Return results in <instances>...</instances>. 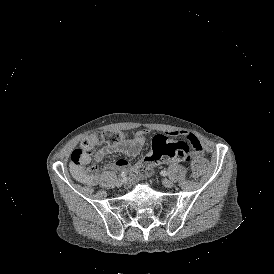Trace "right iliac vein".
Segmentation results:
<instances>
[{"mask_svg": "<svg viewBox=\"0 0 274 274\" xmlns=\"http://www.w3.org/2000/svg\"><path fill=\"white\" fill-rule=\"evenodd\" d=\"M122 184H123L122 179H118L117 182H116V185H117L118 187H121Z\"/></svg>", "mask_w": 274, "mask_h": 274, "instance_id": "1", "label": "right iliac vein"}]
</instances>
